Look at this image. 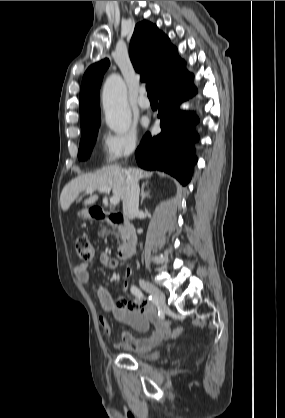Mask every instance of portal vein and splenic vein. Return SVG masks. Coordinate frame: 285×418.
<instances>
[{
  "mask_svg": "<svg viewBox=\"0 0 285 418\" xmlns=\"http://www.w3.org/2000/svg\"><path fill=\"white\" fill-rule=\"evenodd\" d=\"M93 191H95V189L90 188V189H87L86 192L87 193H92ZM99 191H101L103 193H110L111 188L110 187H103V188H100ZM119 202H120L119 197L113 196V197L110 198L111 205H117Z\"/></svg>",
  "mask_w": 285,
  "mask_h": 418,
  "instance_id": "portal-vein-and-splenic-vein-1",
  "label": "portal vein and splenic vein"
}]
</instances>
